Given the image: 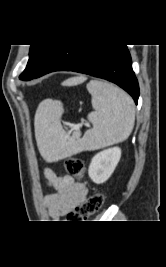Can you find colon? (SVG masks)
Here are the masks:
<instances>
[{
  "label": "colon",
  "instance_id": "1",
  "mask_svg": "<svg viewBox=\"0 0 166 267\" xmlns=\"http://www.w3.org/2000/svg\"><path fill=\"white\" fill-rule=\"evenodd\" d=\"M67 173L77 179L84 176L85 168L82 160L78 158H69L64 163ZM104 203V196L101 193H94L90 195L84 203L77 206L67 215V222H83L90 215L97 212Z\"/></svg>",
  "mask_w": 166,
  "mask_h": 267
}]
</instances>
